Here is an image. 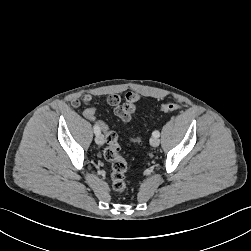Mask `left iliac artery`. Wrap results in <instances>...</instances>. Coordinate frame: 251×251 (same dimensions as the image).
I'll return each instance as SVG.
<instances>
[{
  "mask_svg": "<svg viewBox=\"0 0 251 251\" xmlns=\"http://www.w3.org/2000/svg\"><path fill=\"white\" fill-rule=\"evenodd\" d=\"M153 136L155 137H159L160 136V132L158 130H155L153 133H152Z\"/></svg>",
  "mask_w": 251,
  "mask_h": 251,
  "instance_id": "1",
  "label": "left iliac artery"
}]
</instances>
